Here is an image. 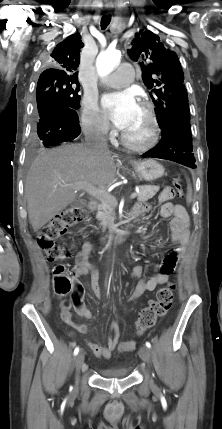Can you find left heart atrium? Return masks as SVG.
Segmentation results:
<instances>
[{"label": "left heart atrium", "mask_w": 222, "mask_h": 429, "mask_svg": "<svg viewBox=\"0 0 222 429\" xmlns=\"http://www.w3.org/2000/svg\"><path fill=\"white\" fill-rule=\"evenodd\" d=\"M106 115L116 128L125 130L133 120L138 104L129 91L108 94L102 99Z\"/></svg>", "instance_id": "39dd6f15"}]
</instances>
